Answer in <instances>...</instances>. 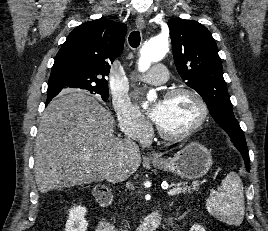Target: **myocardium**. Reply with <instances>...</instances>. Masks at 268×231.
<instances>
[{"mask_svg": "<svg viewBox=\"0 0 268 231\" xmlns=\"http://www.w3.org/2000/svg\"><path fill=\"white\" fill-rule=\"evenodd\" d=\"M181 94H186L190 96L195 103L198 106V117L196 121L186 130L179 132V133H168L164 131L160 125L156 123V131L158 135L167 140V141H178V140H183L185 138L190 137L193 135L201 126L204 124V122L207 119L208 116V106L207 103L205 102L204 98L199 94L195 89L186 87V86H178L173 89H170L166 95L165 99H170L173 97H176Z\"/></svg>", "mask_w": 268, "mask_h": 231, "instance_id": "f54148a6", "label": "myocardium"}]
</instances>
